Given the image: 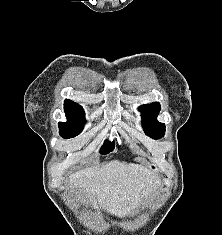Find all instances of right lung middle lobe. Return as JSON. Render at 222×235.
I'll return each instance as SVG.
<instances>
[{
	"instance_id": "1",
	"label": "right lung middle lobe",
	"mask_w": 222,
	"mask_h": 235,
	"mask_svg": "<svg viewBox=\"0 0 222 235\" xmlns=\"http://www.w3.org/2000/svg\"><path fill=\"white\" fill-rule=\"evenodd\" d=\"M67 122H60L59 125V133L60 135L65 138L69 139L72 137H75L79 135L82 130L85 123V118H67ZM114 149L113 143L107 141L102 146L100 153L101 154H107L111 152Z\"/></svg>"
}]
</instances>
